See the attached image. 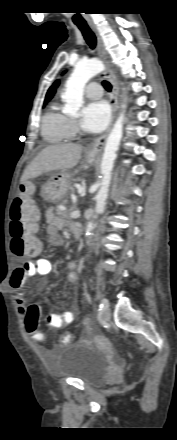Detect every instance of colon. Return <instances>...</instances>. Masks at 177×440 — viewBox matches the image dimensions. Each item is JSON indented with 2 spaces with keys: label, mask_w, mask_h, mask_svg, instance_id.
<instances>
[{
  "label": "colon",
  "mask_w": 177,
  "mask_h": 440,
  "mask_svg": "<svg viewBox=\"0 0 177 440\" xmlns=\"http://www.w3.org/2000/svg\"><path fill=\"white\" fill-rule=\"evenodd\" d=\"M34 194L35 189L31 184L22 185L10 209L11 251L20 262L28 256L36 255L39 250V243L35 237L39 212L33 203ZM35 302L38 304L40 301L37 299ZM42 302L45 304L47 301L44 299ZM38 321L39 307L32 305L26 314V329L34 342H45L46 334H39L37 331ZM71 340L69 333L61 335L62 346H69Z\"/></svg>",
  "instance_id": "obj_1"
}]
</instances>
